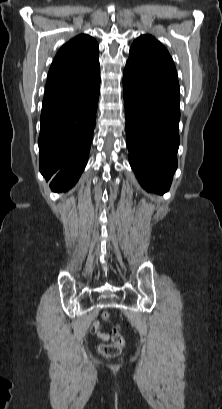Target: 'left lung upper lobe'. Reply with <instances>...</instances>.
<instances>
[{
	"instance_id": "1",
	"label": "left lung upper lobe",
	"mask_w": 222,
	"mask_h": 409,
	"mask_svg": "<svg viewBox=\"0 0 222 409\" xmlns=\"http://www.w3.org/2000/svg\"><path fill=\"white\" fill-rule=\"evenodd\" d=\"M124 75L180 97L174 62L166 48L150 35H142L133 42Z\"/></svg>"
}]
</instances>
